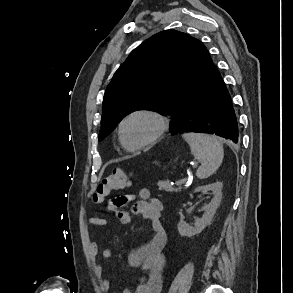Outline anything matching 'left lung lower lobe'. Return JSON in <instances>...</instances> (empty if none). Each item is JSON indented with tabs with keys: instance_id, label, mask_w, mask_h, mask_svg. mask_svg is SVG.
<instances>
[{
	"instance_id": "1",
	"label": "left lung lower lobe",
	"mask_w": 293,
	"mask_h": 293,
	"mask_svg": "<svg viewBox=\"0 0 293 293\" xmlns=\"http://www.w3.org/2000/svg\"><path fill=\"white\" fill-rule=\"evenodd\" d=\"M184 132L211 133L234 143L239 141L230 95L215 65L207 82L186 101L181 120L171 129L173 134Z\"/></svg>"
}]
</instances>
